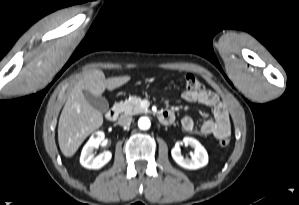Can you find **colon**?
Listing matches in <instances>:
<instances>
[{"instance_id":"obj_1","label":"colon","mask_w":299,"mask_h":205,"mask_svg":"<svg viewBox=\"0 0 299 205\" xmlns=\"http://www.w3.org/2000/svg\"><path fill=\"white\" fill-rule=\"evenodd\" d=\"M179 81L185 86L189 91L200 92L204 90L203 84L199 79L191 73L183 74L179 76ZM229 144V137H223L219 139V145L225 147Z\"/></svg>"}]
</instances>
